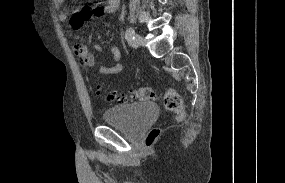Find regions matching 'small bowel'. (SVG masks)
Segmentation results:
<instances>
[{"instance_id":"1","label":"small bowel","mask_w":285,"mask_h":183,"mask_svg":"<svg viewBox=\"0 0 285 183\" xmlns=\"http://www.w3.org/2000/svg\"><path fill=\"white\" fill-rule=\"evenodd\" d=\"M58 4H63L65 0H57ZM120 0H108L106 5L97 6L93 9H89L88 7H84L80 11L72 14L70 16V12L65 10L59 14V19L62 22L70 21L71 26L74 29H81L84 24L89 21L93 17H98L103 14L113 15L118 9ZM94 49L96 51H101V47L98 44L94 45ZM74 54L79 59L80 63L85 68H94L95 67V59L94 56L90 53L88 46L82 43L76 44L73 48ZM112 52V63L108 66H100L97 71L101 75H114L118 74L123 69V64L120 62V51L115 46H111Z\"/></svg>"}]
</instances>
